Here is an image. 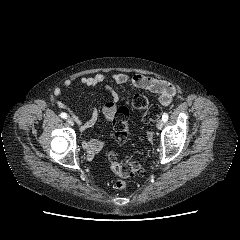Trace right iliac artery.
<instances>
[{"label": "right iliac artery", "mask_w": 240, "mask_h": 240, "mask_svg": "<svg viewBox=\"0 0 240 240\" xmlns=\"http://www.w3.org/2000/svg\"><path fill=\"white\" fill-rule=\"evenodd\" d=\"M60 116H61V118H63V119H66V118H67V114H66L65 112L61 113Z\"/></svg>", "instance_id": "obj_1"}]
</instances>
